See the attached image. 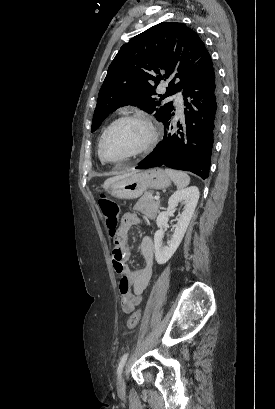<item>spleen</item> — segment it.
Here are the masks:
<instances>
[{"mask_svg": "<svg viewBox=\"0 0 275 409\" xmlns=\"http://www.w3.org/2000/svg\"><path fill=\"white\" fill-rule=\"evenodd\" d=\"M168 176L171 180L177 184V188H184L190 182V176L186 172H181V170H171V168H165Z\"/></svg>", "mask_w": 275, "mask_h": 409, "instance_id": "1", "label": "spleen"}]
</instances>
